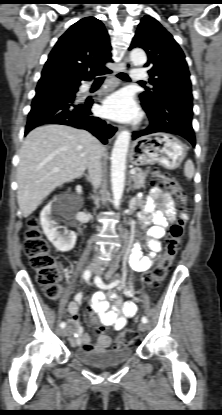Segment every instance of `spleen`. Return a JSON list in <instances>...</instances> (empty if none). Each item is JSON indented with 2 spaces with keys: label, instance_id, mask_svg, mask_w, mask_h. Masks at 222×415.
Wrapping results in <instances>:
<instances>
[{
  "label": "spleen",
  "instance_id": "spleen-1",
  "mask_svg": "<svg viewBox=\"0 0 222 415\" xmlns=\"http://www.w3.org/2000/svg\"><path fill=\"white\" fill-rule=\"evenodd\" d=\"M194 173H195V169H194L193 162L189 159L186 161L185 166H184V175L188 179H191L194 176Z\"/></svg>",
  "mask_w": 222,
  "mask_h": 415
}]
</instances>
